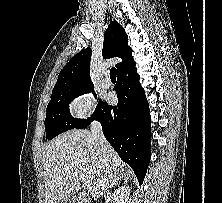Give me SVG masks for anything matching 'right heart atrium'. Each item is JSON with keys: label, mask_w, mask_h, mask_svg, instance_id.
I'll use <instances>...</instances> for the list:
<instances>
[{"label": "right heart atrium", "mask_w": 222, "mask_h": 203, "mask_svg": "<svg viewBox=\"0 0 222 203\" xmlns=\"http://www.w3.org/2000/svg\"><path fill=\"white\" fill-rule=\"evenodd\" d=\"M94 109V100L90 93L78 94L70 103L71 113L78 118H86L91 115Z\"/></svg>", "instance_id": "1"}]
</instances>
